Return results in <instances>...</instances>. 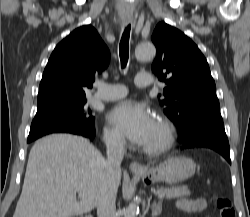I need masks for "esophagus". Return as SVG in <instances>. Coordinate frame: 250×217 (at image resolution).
Wrapping results in <instances>:
<instances>
[{
    "label": "esophagus",
    "instance_id": "34e87169",
    "mask_svg": "<svg viewBox=\"0 0 250 217\" xmlns=\"http://www.w3.org/2000/svg\"><path fill=\"white\" fill-rule=\"evenodd\" d=\"M124 25H127L130 22V19H123L122 20ZM132 172H142L144 171L143 166H141L138 162H132L129 166Z\"/></svg>",
    "mask_w": 250,
    "mask_h": 217
}]
</instances>
